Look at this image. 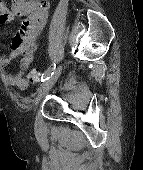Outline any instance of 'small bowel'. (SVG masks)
I'll list each match as a JSON object with an SVG mask.
<instances>
[{"mask_svg":"<svg viewBox=\"0 0 143 170\" xmlns=\"http://www.w3.org/2000/svg\"><path fill=\"white\" fill-rule=\"evenodd\" d=\"M50 2L47 0H9V3L0 2V21L11 23L15 17L24 20L10 42L8 55L0 56V68H6L13 60L20 58L19 71L6 73L7 83L19 89L28 85L24 72L33 63L36 52V39L43 30L49 15Z\"/></svg>","mask_w":143,"mask_h":170,"instance_id":"1","label":"small bowel"}]
</instances>
